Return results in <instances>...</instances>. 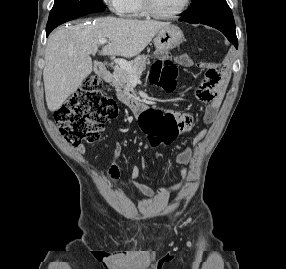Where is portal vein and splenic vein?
<instances>
[{
    "mask_svg": "<svg viewBox=\"0 0 286 269\" xmlns=\"http://www.w3.org/2000/svg\"><path fill=\"white\" fill-rule=\"evenodd\" d=\"M108 41L106 39H99V43L104 45L106 44ZM121 69L128 71L131 73V80L133 81H138L139 78L138 76L132 71V67L129 64V62H127L126 60L123 59H116L114 61Z\"/></svg>",
    "mask_w": 286,
    "mask_h": 269,
    "instance_id": "obj_1",
    "label": "portal vein and splenic vein"
}]
</instances>
